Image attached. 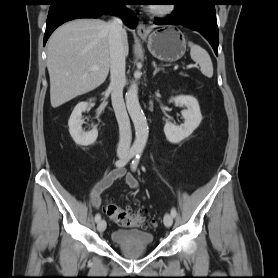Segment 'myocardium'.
<instances>
[{"label":"myocardium","mask_w":278,"mask_h":278,"mask_svg":"<svg viewBox=\"0 0 278 278\" xmlns=\"http://www.w3.org/2000/svg\"><path fill=\"white\" fill-rule=\"evenodd\" d=\"M175 5L173 3L150 7L149 12L158 17H165L173 13Z\"/></svg>","instance_id":"myocardium-1"}]
</instances>
